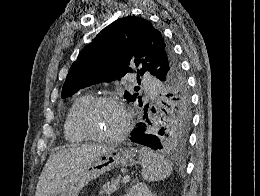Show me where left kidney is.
<instances>
[{"label": "left kidney", "mask_w": 260, "mask_h": 196, "mask_svg": "<svg viewBox=\"0 0 260 196\" xmlns=\"http://www.w3.org/2000/svg\"><path fill=\"white\" fill-rule=\"evenodd\" d=\"M126 196H155L150 192L147 184H143V182H138L135 186L130 188L129 192H127Z\"/></svg>", "instance_id": "1"}]
</instances>
